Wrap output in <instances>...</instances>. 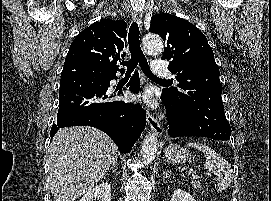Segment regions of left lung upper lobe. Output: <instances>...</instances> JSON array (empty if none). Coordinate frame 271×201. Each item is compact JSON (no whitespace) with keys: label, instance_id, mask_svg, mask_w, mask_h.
Returning <instances> with one entry per match:
<instances>
[{"label":"left lung upper lobe","instance_id":"5c2ea615","mask_svg":"<svg viewBox=\"0 0 271 201\" xmlns=\"http://www.w3.org/2000/svg\"><path fill=\"white\" fill-rule=\"evenodd\" d=\"M150 32L166 42L162 59L176 75V87L163 92L174 102L180 117L202 131L206 137L228 140L231 127L224 114L219 68L205 35L192 23L175 15L152 16Z\"/></svg>","mask_w":271,"mask_h":201}]
</instances>
